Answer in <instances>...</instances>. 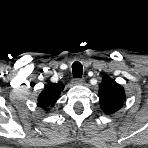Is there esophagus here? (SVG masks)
I'll return each mask as SVG.
<instances>
[{"instance_id":"obj_1","label":"esophagus","mask_w":148,"mask_h":148,"mask_svg":"<svg viewBox=\"0 0 148 148\" xmlns=\"http://www.w3.org/2000/svg\"><path fill=\"white\" fill-rule=\"evenodd\" d=\"M73 82H74L75 84H84V79H82V78H75V79L73 80Z\"/></svg>"}]
</instances>
